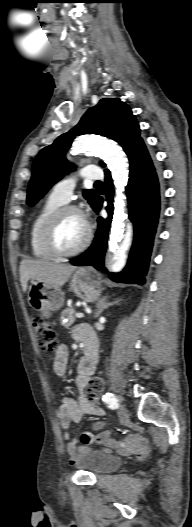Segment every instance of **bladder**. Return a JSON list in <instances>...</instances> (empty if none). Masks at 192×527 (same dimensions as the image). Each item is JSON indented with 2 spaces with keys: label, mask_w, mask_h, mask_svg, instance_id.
Returning <instances> with one entry per match:
<instances>
[{
  "label": "bladder",
  "mask_w": 192,
  "mask_h": 527,
  "mask_svg": "<svg viewBox=\"0 0 192 527\" xmlns=\"http://www.w3.org/2000/svg\"><path fill=\"white\" fill-rule=\"evenodd\" d=\"M121 457L99 449L83 453L76 461V467L94 475L113 471L121 464Z\"/></svg>",
  "instance_id": "obj_1"
}]
</instances>
